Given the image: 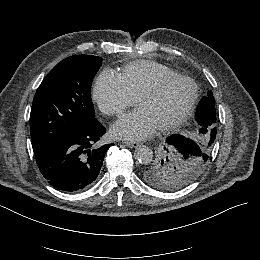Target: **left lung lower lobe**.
<instances>
[{
    "label": "left lung lower lobe",
    "instance_id": "0a47b994",
    "mask_svg": "<svg viewBox=\"0 0 260 260\" xmlns=\"http://www.w3.org/2000/svg\"><path fill=\"white\" fill-rule=\"evenodd\" d=\"M215 117V104L208 97H203L197 112L196 119L200 126L207 127L212 124ZM217 129L212 131L216 138ZM167 142L182 154L190 155L201 152L200 146L192 139L183 135L171 136Z\"/></svg>",
    "mask_w": 260,
    "mask_h": 260
}]
</instances>
